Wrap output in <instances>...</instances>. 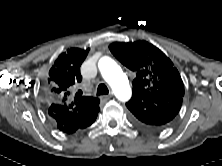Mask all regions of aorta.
<instances>
[{
    "instance_id": "762f6f07",
    "label": "aorta",
    "mask_w": 222,
    "mask_h": 166,
    "mask_svg": "<svg viewBox=\"0 0 222 166\" xmlns=\"http://www.w3.org/2000/svg\"><path fill=\"white\" fill-rule=\"evenodd\" d=\"M99 70L104 80L112 88L115 96L120 101H128L132 91L128 78L121 67L110 57H102L98 63Z\"/></svg>"
}]
</instances>
